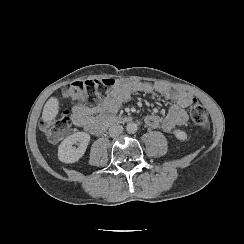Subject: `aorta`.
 <instances>
[{"label": "aorta", "instance_id": "762f6f07", "mask_svg": "<svg viewBox=\"0 0 244 244\" xmlns=\"http://www.w3.org/2000/svg\"><path fill=\"white\" fill-rule=\"evenodd\" d=\"M126 130H127V132L128 133H135V132H137V130H138V127H137V124L136 123H134V122H129L127 125H126Z\"/></svg>", "mask_w": 244, "mask_h": 244}]
</instances>
